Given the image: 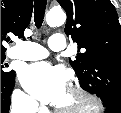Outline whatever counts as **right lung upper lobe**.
<instances>
[{
    "label": "right lung upper lobe",
    "mask_w": 121,
    "mask_h": 113,
    "mask_svg": "<svg viewBox=\"0 0 121 113\" xmlns=\"http://www.w3.org/2000/svg\"><path fill=\"white\" fill-rule=\"evenodd\" d=\"M32 10L33 0H1V52L6 50L2 43L10 41L8 34L22 37Z\"/></svg>",
    "instance_id": "obj_1"
}]
</instances>
